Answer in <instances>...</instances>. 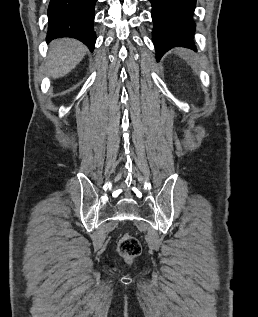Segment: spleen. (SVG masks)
I'll return each instance as SVG.
<instances>
[{"label":"spleen","instance_id":"1","mask_svg":"<svg viewBox=\"0 0 258 317\" xmlns=\"http://www.w3.org/2000/svg\"><path fill=\"white\" fill-rule=\"evenodd\" d=\"M176 52H178L180 56H183V58H191L190 50H185V48H177Z\"/></svg>","mask_w":258,"mask_h":317}]
</instances>
